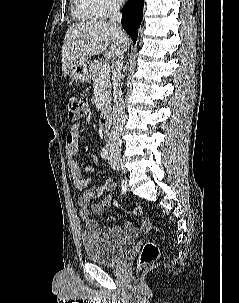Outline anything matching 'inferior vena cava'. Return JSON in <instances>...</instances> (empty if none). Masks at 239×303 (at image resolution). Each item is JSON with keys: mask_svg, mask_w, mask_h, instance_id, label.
I'll return each mask as SVG.
<instances>
[{"mask_svg": "<svg viewBox=\"0 0 239 303\" xmlns=\"http://www.w3.org/2000/svg\"><path fill=\"white\" fill-rule=\"evenodd\" d=\"M120 3L116 1L113 5V13L109 20L119 31L121 30L118 23L121 21ZM123 53L117 54V60L113 70V127L109 136L108 146L111 151L120 150L121 148V133L125 122L124 101L121 91V70L123 67Z\"/></svg>", "mask_w": 239, "mask_h": 303, "instance_id": "obj_1", "label": "inferior vena cava"}]
</instances>
